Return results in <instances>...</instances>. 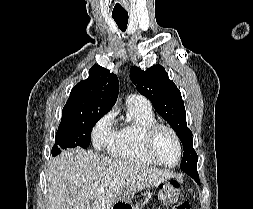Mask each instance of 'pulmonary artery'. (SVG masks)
I'll return each mask as SVG.
<instances>
[{
  "mask_svg": "<svg viewBox=\"0 0 253 209\" xmlns=\"http://www.w3.org/2000/svg\"><path fill=\"white\" fill-rule=\"evenodd\" d=\"M127 101H145L148 102L144 97L138 94H131L128 96Z\"/></svg>",
  "mask_w": 253,
  "mask_h": 209,
  "instance_id": "e3ab8cb5",
  "label": "pulmonary artery"
}]
</instances>
